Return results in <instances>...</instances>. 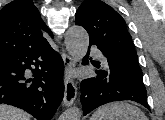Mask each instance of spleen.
Instances as JSON below:
<instances>
[{"label": "spleen", "mask_w": 165, "mask_h": 120, "mask_svg": "<svg viewBox=\"0 0 165 120\" xmlns=\"http://www.w3.org/2000/svg\"><path fill=\"white\" fill-rule=\"evenodd\" d=\"M90 120H148L136 106L127 102H114L99 107Z\"/></svg>", "instance_id": "3e777b00"}]
</instances>
